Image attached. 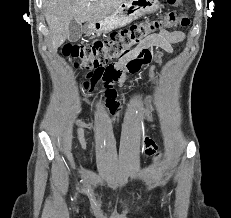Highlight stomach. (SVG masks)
Wrapping results in <instances>:
<instances>
[{
	"label": "stomach",
	"instance_id": "stomach-1",
	"mask_svg": "<svg viewBox=\"0 0 231 218\" xmlns=\"http://www.w3.org/2000/svg\"><path fill=\"white\" fill-rule=\"evenodd\" d=\"M159 6L158 0H125L108 17L88 23L87 34H101L123 27L145 14L156 11Z\"/></svg>",
	"mask_w": 231,
	"mask_h": 218
}]
</instances>
